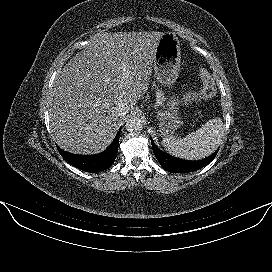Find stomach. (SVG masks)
<instances>
[{
	"instance_id": "stomach-1",
	"label": "stomach",
	"mask_w": 272,
	"mask_h": 272,
	"mask_svg": "<svg viewBox=\"0 0 272 272\" xmlns=\"http://www.w3.org/2000/svg\"><path fill=\"white\" fill-rule=\"evenodd\" d=\"M180 62L181 49L178 37L173 32L163 33L158 42L154 59L157 81L163 86L170 87L173 85L179 75ZM180 104V99L175 95L170 98L163 97L161 109L156 115L162 136H170L182 127L183 122L179 115Z\"/></svg>"
}]
</instances>
